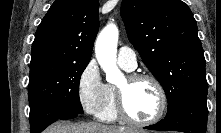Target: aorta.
<instances>
[{"label": "aorta", "mask_w": 221, "mask_h": 133, "mask_svg": "<svg viewBox=\"0 0 221 133\" xmlns=\"http://www.w3.org/2000/svg\"><path fill=\"white\" fill-rule=\"evenodd\" d=\"M119 31L116 25H107L99 34L95 45L97 61L106 74V80L116 83L122 79V73L116 64Z\"/></svg>", "instance_id": "obj_1"}]
</instances>
